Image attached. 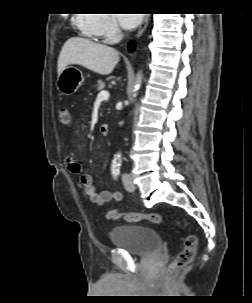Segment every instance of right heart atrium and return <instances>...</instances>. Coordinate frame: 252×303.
<instances>
[{
    "instance_id": "right-heart-atrium-1",
    "label": "right heart atrium",
    "mask_w": 252,
    "mask_h": 303,
    "mask_svg": "<svg viewBox=\"0 0 252 303\" xmlns=\"http://www.w3.org/2000/svg\"><path fill=\"white\" fill-rule=\"evenodd\" d=\"M93 26L107 43L116 42L120 35L118 24L111 14H96Z\"/></svg>"
}]
</instances>
